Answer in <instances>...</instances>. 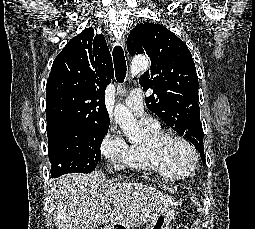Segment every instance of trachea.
Returning a JSON list of instances; mask_svg holds the SVG:
<instances>
[{
	"label": "trachea",
	"instance_id": "3493384b",
	"mask_svg": "<svg viewBox=\"0 0 255 229\" xmlns=\"http://www.w3.org/2000/svg\"><path fill=\"white\" fill-rule=\"evenodd\" d=\"M112 55L116 79L118 82L122 83L125 79L127 71L126 60L122 47L120 45H116L113 49Z\"/></svg>",
	"mask_w": 255,
	"mask_h": 229
}]
</instances>
